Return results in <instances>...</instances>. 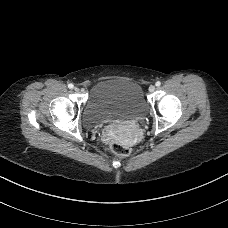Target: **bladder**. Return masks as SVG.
Returning a JSON list of instances; mask_svg holds the SVG:
<instances>
[{"label": "bladder", "instance_id": "obj_1", "mask_svg": "<svg viewBox=\"0 0 228 228\" xmlns=\"http://www.w3.org/2000/svg\"><path fill=\"white\" fill-rule=\"evenodd\" d=\"M148 102L141 85L130 79H108L96 83L85 102L82 119L87 128L116 120L143 117Z\"/></svg>", "mask_w": 228, "mask_h": 228}]
</instances>
